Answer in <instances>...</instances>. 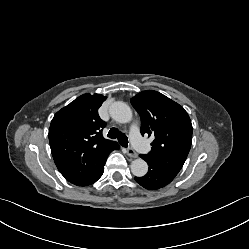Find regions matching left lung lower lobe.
Segmentation results:
<instances>
[{"label": "left lung lower lobe", "mask_w": 249, "mask_h": 249, "mask_svg": "<svg viewBox=\"0 0 249 249\" xmlns=\"http://www.w3.org/2000/svg\"><path fill=\"white\" fill-rule=\"evenodd\" d=\"M148 165V173L143 177H135L137 183L149 190H156L169 184L175 177L176 173L159 168L156 164L140 155Z\"/></svg>", "instance_id": "0a47b994"}]
</instances>
